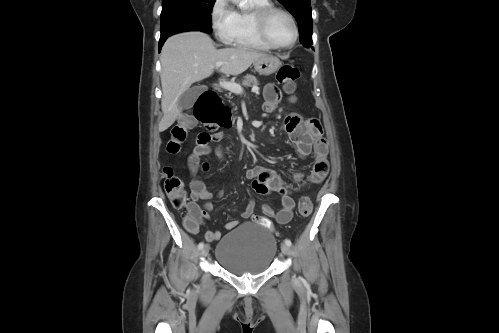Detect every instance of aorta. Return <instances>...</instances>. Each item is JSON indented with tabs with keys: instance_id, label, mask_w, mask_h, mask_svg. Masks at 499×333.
<instances>
[{
	"instance_id": "1",
	"label": "aorta",
	"mask_w": 499,
	"mask_h": 333,
	"mask_svg": "<svg viewBox=\"0 0 499 333\" xmlns=\"http://www.w3.org/2000/svg\"><path fill=\"white\" fill-rule=\"evenodd\" d=\"M232 3L237 4L241 9H247V0H230Z\"/></svg>"
}]
</instances>
